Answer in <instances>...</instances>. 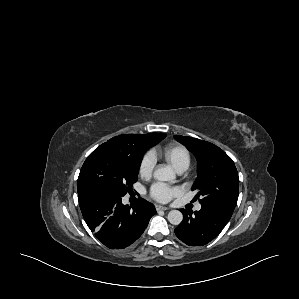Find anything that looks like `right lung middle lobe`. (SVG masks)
Masks as SVG:
<instances>
[{
	"label": "right lung middle lobe",
	"mask_w": 299,
	"mask_h": 299,
	"mask_svg": "<svg viewBox=\"0 0 299 299\" xmlns=\"http://www.w3.org/2000/svg\"><path fill=\"white\" fill-rule=\"evenodd\" d=\"M165 137L164 133L149 136L137 156L126 155L109 142L100 145L85 160L79 173L77 191L96 189L123 197L137 181L143 154Z\"/></svg>",
	"instance_id": "obj_1"
}]
</instances>
